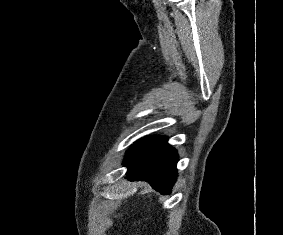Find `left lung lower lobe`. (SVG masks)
Returning <instances> with one entry per match:
<instances>
[{"label":"left lung lower lobe","mask_w":283,"mask_h":235,"mask_svg":"<svg viewBox=\"0 0 283 235\" xmlns=\"http://www.w3.org/2000/svg\"><path fill=\"white\" fill-rule=\"evenodd\" d=\"M177 153L166 137L145 138L133 145L124 160L129 180H145L162 194H170L176 180Z\"/></svg>","instance_id":"obj_1"}]
</instances>
